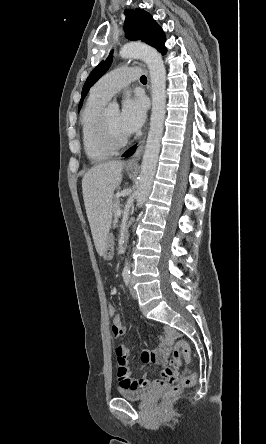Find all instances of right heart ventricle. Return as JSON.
I'll return each instance as SVG.
<instances>
[{
    "mask_svg": "<svg viewBox=\"0 0 266 444\" xmlns=\"http://www.w3.org/2000/svg\"><path fill=\"white\" fill-rule=\"evenodd\" d=\"M108 100L95 93H91L81 114V138L84 151L89 159L102 161L110 158L113 151L103 147L95 135L97 120L104 110Z\"/></svg>",
    "mask_w": 266,
    "mask_h": 444,
    "instance_id": "obj_1",
    "label": "right heart ventricle"
}]
</instances>
